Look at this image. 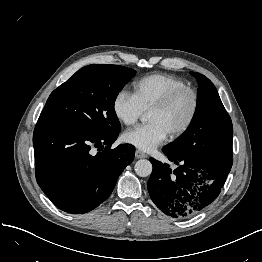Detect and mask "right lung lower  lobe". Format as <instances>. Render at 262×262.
I'll return each mask as SVG.
<instances>
[{"mask_svg":"<svg viewBox=\"0 0 262 262\" xmlns=\"http://www.w3.org/2000/svg\"><path fill=\"white\" fill-rule=\"evenodd\" d=\"M119 132L101 134L62 120L38 119L33 134L36 180L59 209L86 213L110 196L135 154L130 144L110 149ZM94 147L100 152L94 154Z\"/></svg>","mask_w":262,"mask_h":262,"instance_id":"right-lung-lower-lobe-1","label":"right lung lower lobe"}]
</instances>
